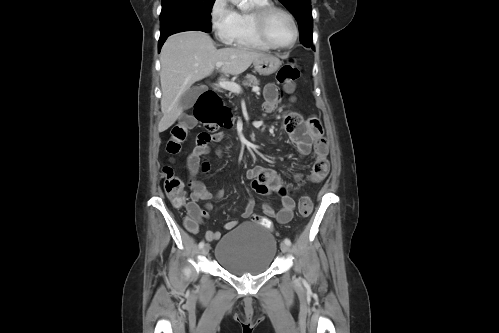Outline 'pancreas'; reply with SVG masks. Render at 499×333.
I'll return each mask as SVG.
<instances>
[{
    "instance_id": "pancreas-1",
    "label": "pancreas",
    "mask_w": 499,
    "mask_h": 333,
    "mask_svg": "<svg viewBox=\"0 0 499 333\" xmlns=\"http://www.w3.org/2000/svg\"><path fill=\"white\" fill-rule=\"evenodd\" d=\"M245 78H246V81L244 82L245 85L252 86V87L259 85V81L256 78V76H254L252 74H247Z\"/></svg>"
}]
</instances>
